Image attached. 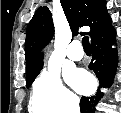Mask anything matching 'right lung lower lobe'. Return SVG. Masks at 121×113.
Masks as SVG:
<instances>
[{"label": "right lung lower lobe", "mask_w": 121, "mask_h": 113, "mask_svg": "<svg viewBox=\"0 0 121 113\" xmlns=\"http://www.w3.org/2000/svg\"><path fill=\"white\" fill-rule=\"evenodd\" d=\"M116 32L112 26L91 39L92 62L89 68L93 70L99 80L100 87H110L117 67V51L111 48L115 43ZM99 90L94 96L82 97L80 101L81 113H93L94 106L102 98Z\"/></svg>", "instance_id": "1"}]
</instances>
